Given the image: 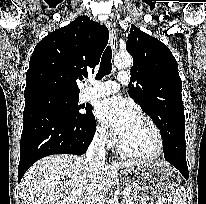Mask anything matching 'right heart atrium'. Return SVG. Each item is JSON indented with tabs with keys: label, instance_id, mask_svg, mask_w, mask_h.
<instances>
[{
	"label": "right heart atrium",
	"instance_id": "obj_1",
	"mask_svg": "<svg viewBox=\"0 0 206 204\" xmlns=\"http://www.w3.org/2000/svg\"><path fill=\"white\" fill-rule=\"evenodd\" d=\"M96 139L107 146H112L115 142L114 137L103 124H98L95 131Z\"/></svg>",
	"mask_w": 206,
	"mask_h": 204
}]
</instances>
